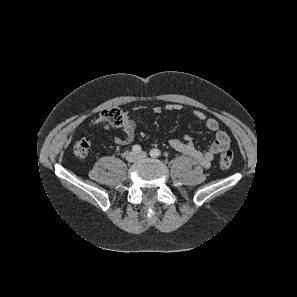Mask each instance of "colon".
<instances>
[{
    "instance_id": "1",
    "label": "colon",
    "mask_w": 297,
    "mask_h": 297,
    "mask_svg": "<svg viewBox=\"0 0 297 297\" xmlns=\"http://www.w3.org/2000/svg\"><path fill=\"white\" fill-rule=\"evenodd\" d=\"M100 120L102 122H107L112 126L118 127L124 123L125 115L123 111L117 107L104 110L100 114ZM91 142L87 137H81L74 144L73 150L74 154L79 158H84L87 156L90 149ZM219 166L223 170H227L231 167L233 162V153L231 150H224L219 156Z\"/></svg>"
}]
</instances>
